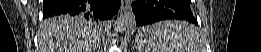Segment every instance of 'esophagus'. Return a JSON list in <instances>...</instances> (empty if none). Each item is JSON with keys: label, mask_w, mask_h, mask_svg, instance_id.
<instances>
[{"label": "esophagus", "mask_w": 261, "mask_h": 52, "mask_svg": "<svg viewBox=\"0 0 261 52\" xmlns=\"http://www.w3.org/2000/svg\"><path fill=\"white\" fill-rule=\"evenodd\" d=\"M130 1L129 0H122V3H121V9L123 11H127L130 9Z\"/></svg>", "instance_id": "34e87169"}]
</instances>
